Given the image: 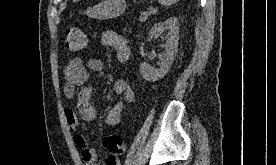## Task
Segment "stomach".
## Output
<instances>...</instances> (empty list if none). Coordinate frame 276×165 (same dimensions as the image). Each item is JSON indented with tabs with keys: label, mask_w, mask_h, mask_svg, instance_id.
<instances>
[{
	"label": "stomach",
	"mask_w": 276,
	"mask_h": 165,
	"mask_svg": "<svg viewBox=\"0 0 276 165\" xmlns=\"http://www.w3.org/2000/svg\"><path fill=\"white\" fill-rule=\"evenodd\" d=\"M125 8V0H104L93 7H89L85 13L91 18L104 20L120 16Z\"/></svg>",
	"instance_id": "1"
}]
</instances>
